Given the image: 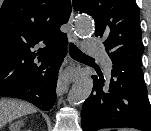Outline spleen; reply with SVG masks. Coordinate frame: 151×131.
Instances as JSON below:
<instances>
[{"mask_svg": "<svg viewBox=\"0 0 151 131\" xmlns=\"http://www.w3.org/2000/svg\"><path fill=\"white\" fill-rule=\"evenodd\" d=\"M119 131H135V130H133V129H121Z\"/></svg>", "mask_w": 151, "mask_h": 131, "instance_id": "3e777b00", "label": "spleen"}]
</instances>
